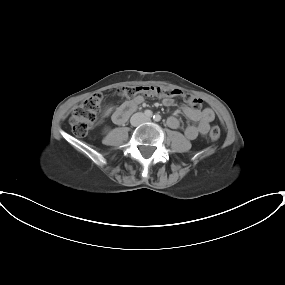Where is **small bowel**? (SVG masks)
I'll use <instances>...</instances> for the list:
<instances>
[{
    "mask_svg": "<svg viewBox=\"0 0 285 285\" xmlns=\"http://www.w3.org/2000/svg\"><path fill=\"white\" fill-rule=\"evenodd\" d=\"M143 101V96L137 95L125 103H131L137 107ZM173 103L174 100L172 98L163 99V104L166 106H171ZM180 111L187 118L196 122V125H188L184 130L185 136L190 140L196 139L199 135L206 134L209 130L210 123L215 118L214 112L210 108L194 109L188 106H182ZM167 124L172 129H177L180 126V122L175 116H170L167 120Z\"/></svg>",
    "mask_w": 285,
    "mask_h": 285,
    "instance_id": "1",
    "label": "small bowel"
}]
</instances>
